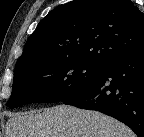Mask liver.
Instances as JSON below:
<instances>
[{"label":"liver","instance_id":"1","mask_svg":"<svg viewBox=\"0 0 144 137\" xmlns=\"http://www.w3.org/2000/svg\"><path fill=\"white\" fill-rule=\"evenodd\" d=\"M6 137H135L122 122L97 111L58 105L43 111L13 113Z\"/></svg>","mask_w":144,"mask_h":137}]
</instances>
